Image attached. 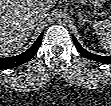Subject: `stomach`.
<instances>
[{"mask_svg":"<svg viewBox=\"0 0 111 106\" xmlns=\"http://www.w3.org/2000/svg\"><path fill=\"white\" fill-rule=\"evenodd\" d=\"M90 4H91V6H92L94 9H99V8H101L102 6H104L105 1H103V0H95V1H90Z\"/></svg>","mask_w":111,"mask_h":106,"instance_id":"1","label":"stomach"}]
</instances>
